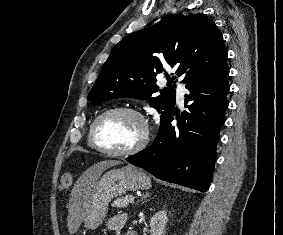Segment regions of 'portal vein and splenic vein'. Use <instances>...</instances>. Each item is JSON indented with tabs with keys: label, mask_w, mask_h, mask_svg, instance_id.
Segmentation results:
<instances>
[{
	"label": "portal vein and splenic vein",
	"mask_w": 283,
	"mask_h": 235,
	"mask_svg": "<svg viewBox=\"0 0 283 235\" xmlns=\"http://www.w3.org/2000/svg\"><path fill=\"white\" fill-rule=\"evenodd\" d=\"M131 201L133 202V201H134V198H131Z\"/></svg>",
	"instance_id": "portal-vein-and-splenic-vein-1"
}]
</instances>
